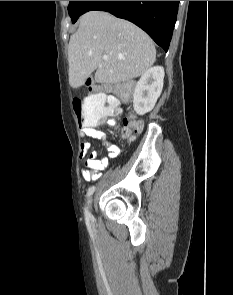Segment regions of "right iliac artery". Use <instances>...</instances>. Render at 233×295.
<instances>
[{"label": "right iliac artery", "mask_w": 233, "mask_h": 295, "mask_svg": "<svg viewBox=\"0 0 233 295\" xmlns=\"http://www.w3.org/2000/svg\"><path fill=\"white\" fill-rule=\"evenodd\" d=\"M94 191H95V186L90 187V188L88 189V191H87V195H86V197L89 198V197L93 194ZM84 213H85V217H86V219L89 220L90 217H91V214H90V212L88 211L87 207H85V209H84Z\"/></svg>", "instance_id": "1"}]
</instances>
